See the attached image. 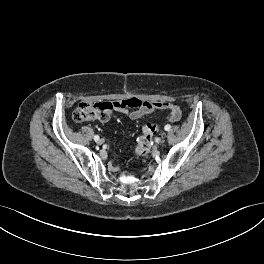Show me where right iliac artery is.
Masks as SVG:
<instances>
[{"label":"right iliac artery","instance_id":"82829eb1","mask_svg":"<svg viewBox=\"0 0 264 264\" xmlns=\"http://www.w3.org/2000/svg\"><path fill=\"white\" fill-rule=\"evenodd\" d=\"M94 140H95V141H98V140H99V136H98V135H95V136H94Z\"/></svg>","mask_w":264,"mask_h":264}]
</instances>
